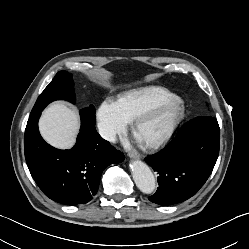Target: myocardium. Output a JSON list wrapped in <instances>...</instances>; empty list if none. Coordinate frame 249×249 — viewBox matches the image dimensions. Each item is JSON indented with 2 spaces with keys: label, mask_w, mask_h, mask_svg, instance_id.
<instances>
[{
  "label": "myocardium",
  "mask_w": 249,
  "mask_h": 249,
  "mask_svg": "<svg viewBox=\"0 0 249 249\" xmlns=\"http://www.w3.org/2000/svg\"><path fill=\"white\" fill-rule=\"evenodd\" d=\"M164 107H172L174 110V117L168 126V128L159 136L152 140L145 141V145L150 148H157L164 143H166L174 134L178 125L180 124L183 114H184V102L178 96H173L165 100H161L142 111L134 120L133 130L137 134L138 128L142 123H144L148 118L154 115L158 110Z\"/></svg>",
  "instance_id": "f54148a6"
}]
</instances>
